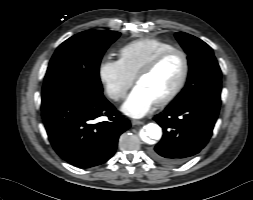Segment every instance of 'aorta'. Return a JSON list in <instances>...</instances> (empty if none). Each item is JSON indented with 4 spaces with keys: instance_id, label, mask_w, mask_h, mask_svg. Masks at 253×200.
Segmentation results:
<instances>
[{
    "instance_id": "aorta-1",
    "label": "aorta",
    "mask_w": 253,
    "mask_h": 200,
    "mask_svg": "<svg viewBox=\"0 0 253 200\" xmlns=\"http://www.w3.org/2000/svg\"><path fill=\"white\" fill-rule=\"evenodd\" d=\"M162 136V130L159 125L155 123H149L144 126V131L140 132V137L144 142H150L151 140H159Z\"/></svg>"
}]
</instances>
